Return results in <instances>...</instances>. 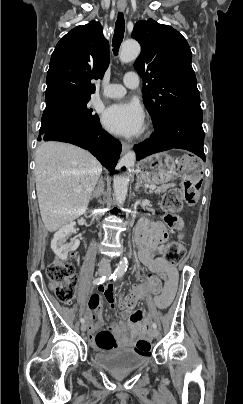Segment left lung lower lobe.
I'll list each match as a JSON object with an SVG mask.
<instances>
[{"instance_id": "0a47b994", "label": "left lung lower lobe", "mask_w": 243, "mask_h": 404, "mask_svg": "<svg viewBox=\"0 0 243 404\" xmlns=\"http://www.w3.org/2000/svg\"><path fill=\"white\" fill-rule=\"evenodd\" d=\"M202 109L179 108L171 111L147 141L134 146L137 160L172 148L193 152L205 161Z\"/></svg>"}]
</instances>
